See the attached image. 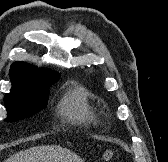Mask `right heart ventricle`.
Masks as SVG:
<instances>
[{
	"instance_id": "right-heart-ventricle-1",
	"label": "right heart ventricle",
	"mask_w": 168,
	"mask_h": 162,
	"mask_svg": "<svg viewBox=\"0 0 168 162\" xmlns=\"http://www.w3.org/2000/svg\"><path fill=\"white\" fill-rule=\"evenodd\" d=\"M61 114L73 123L90 124L97 118L89 92L83 87L71 89L60 104Z\"/></svg>"
}]
</instances>
